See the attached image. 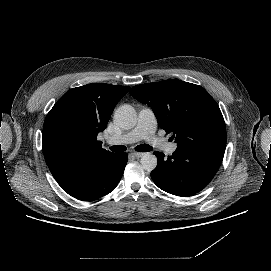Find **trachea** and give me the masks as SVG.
I'll use <instances>...</instances> for the list:
<instances>
[{
  "instance_id": "3493384b",
  "label": "trachea",
  "mask_w": 271,
  "mask_h": 271,
  "mask_svg": "<svg viewBox=\"0 0 271 271\" xmlns=\"http://www.w3.org/2000/svg\"><path fill=\"white\" fill-rule=\"evenodd\" d=\"M110 150L113 152H123L126 150V147L123 145H118V146H112L110 147ZM135 150L139 151V152H149L152 150V147L150 145H138Z\"/></svg>"
}]
</instances>
